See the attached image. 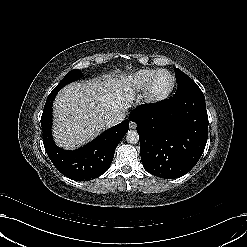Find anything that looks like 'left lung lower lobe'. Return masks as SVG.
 Instances as JSON below:
<instances>
[{"label": "left lung lower lobe", "mask_w": 247, "mask_h": 247, "mask_svg": "<svg viewBox=\"0 0 247 247\" xmlns=\"http://www.w3.org/2000/svg\"><path fill=\"white\" fill-rule=\"evenodd\" d=\"M137 123L141 161L149 173L182 177L200 159L208 138V115L201 90L140 105L130 113Z\"/></svg>", "instance_id": "1"}]
</instances>
